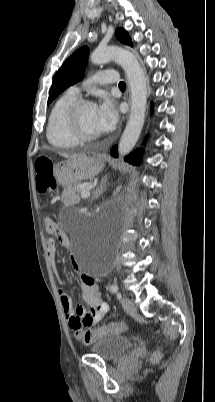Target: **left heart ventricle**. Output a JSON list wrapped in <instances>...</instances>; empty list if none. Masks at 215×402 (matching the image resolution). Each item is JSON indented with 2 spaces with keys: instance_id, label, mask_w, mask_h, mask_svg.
<instances>
[{
  "instance_id": "left-heart-ventricle-1",
  "label": "left heart ventricle",
  "mask_w": 215,
  "mask_h": 402,
  "mask_svg": "<svg viewBox=\"0 0 215 402\" xmlns=\"http://www.w3.org/2000/svg\"><path fill=\"white\" fill-rule=\"evenodd\" d=\"M80 125L86 134H99L95 123V105H87L81 110Z\"/></svg>"
}]
</instances>
